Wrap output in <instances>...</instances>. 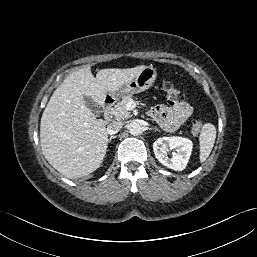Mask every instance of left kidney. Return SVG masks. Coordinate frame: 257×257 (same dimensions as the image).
<instances>
[{"label": "left kidney", "mask_w": 257, "mask_h": 257, "mask_svg": "<svg viewBox=\"0 0 257 257\" xmlns=\"http://www.w3.org/2000/svg\"><path fill=\"white\" fill-rule=\"evenodd\" d=\"M193 144L188 138L183 137H162L153 143V151L158 161L167 168L175 171H182L189 161ZM173 150L169 158L167 152Z\"/></svg>", "instance_id": "obj_1"}]
</instances>
